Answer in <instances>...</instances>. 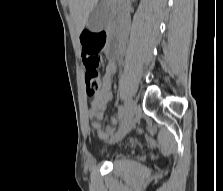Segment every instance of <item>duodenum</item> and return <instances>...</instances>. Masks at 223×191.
Returning a JSON list of instances; mask_svg holds the SVG:
<instances>
[{
	"instance_id": "410a0bca",
	"label": "duodenum",
	"mask_w": 223,
	"mask_h": 191,
	"mask_svg": "<svg viewBox=\"0 0 223 191\" xmlns=\"http://www.w3.org/2000/svg\"><path fill=\"white\" fill-rule=\"evenodd\" d=\"M114 35L116 36L117 40H120L121 36H122V31L116 29L114 31ZM108 54H109V57H110L111 61L113 62L114 59H116L119 56V54H120V47H119V45L111 44L109 49H108Z\"/></svg>"
}]
</instances>
